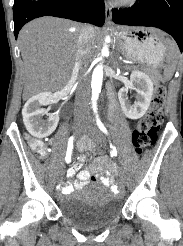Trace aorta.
I'll list each match as a JSON object with an SVG mask.
<instances>
[{
  "mask_svg": "<svg viewBox=\"0 0 183 246\" xmlns=\"http://www.w3.org/2000/svg\"><path fill=\"white\" fill-rule=\"evenodd\" d=\"M109 42H110V37L107 36L105 38V45L101 50V57L99 58V61H102L103 57L109 54V49L107 46ZM102 81H103V65L102 63H100L95 67L92 73V81H91L92 99L91 100H92L93 109L97 108V100L99 97V93L101 92Z\"/></svg>",
  "mask_w": 183,
  "mask_h": 246,
  "instance_id": "obj_1",
  "label": "aorta"
}]
</instances>
